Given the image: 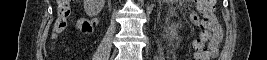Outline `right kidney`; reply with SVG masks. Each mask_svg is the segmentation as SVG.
<instances>
[{
    "label": "right kidney",
    "instance_id": "ca27d5eb",
    "mask_svg": "<svg viewBox=\"0 0 267 60\" xmlns=\"http://www.w3.org/2000/svg\"><path fill=\"white\" fill-rule=\"evenodd\" d=\"M84 11L90 17L97 16L104 7L105 0H84Z\"/></svg>",
    "mask_w": 267,
    "mask_h": 60
}]
</instances>
